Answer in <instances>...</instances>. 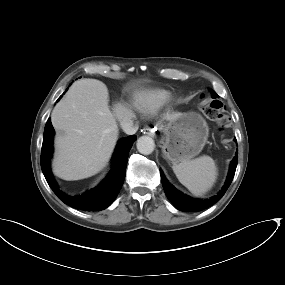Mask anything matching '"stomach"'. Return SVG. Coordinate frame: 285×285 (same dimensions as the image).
I'll list each match as a JSON object with an SVG mask.
<instances>
[{"mask_svg":"<svg viewBox=\"0 0 285 285\" xmlns=\"http://www.w3.org/2000/svg\"><path fill=\"white\" fill-rule=\"evenodd\" d=\"M162 153L172 163L198 155L207 142L209 128L203 117L189 112L169 119L163 126Z\"/></svg>","mask_w":285,"mask_h":285,"instance_id":"stomach-1","label":"stomach"}]
</instances>
